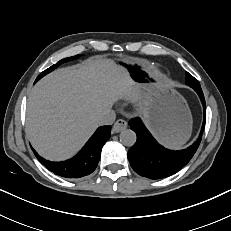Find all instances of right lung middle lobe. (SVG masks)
Returning a JSON list of instances; mask_svg holds the SVG:
<instances>
[{"mask_svg": "<svg viewBox=\"0 0 231 231\" xmlns=\"http://www.w3.org/2000/svg\"><path fill=\"white\" fill-rule=\"evenodd\" d=\"M79 57V55L73 56V57H69V58H65L63 60H60L59 62H57L56 64L52 65L50 68L46 69L45 71H43L36 79V81H38L40 78H42L44 75H46L47 73L51 72L52 70H54L55 68H57L59 65H61L64 62H68L74 59H77ZM35 81V82H36Z\"/></svg>", "mask_w": 231, "mask_h": 231, "instance_id": "right-lung-middle-lobe-1", "label": "right lung middle lobe"}]
</instances>
